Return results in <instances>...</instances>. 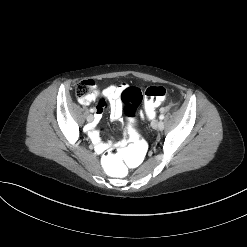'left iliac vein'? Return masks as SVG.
Segmentation results:
<instances>
[{"instance_id":"1","label":"left iliac vein","mask_w":247,"mask_h":247,"mask_svg":"<svg viewBox=\"0 0 247 247\" xmlns=\"http://www.w3.org/2000/svg\"><path fill=\"white\" fill-rule=\"evenodd\" d=\"M154 127L157 130H163L164 129V123L162 121L156 122Z\"/></svg>"}]
</instances>
